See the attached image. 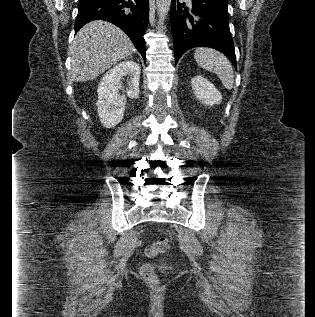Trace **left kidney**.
I'll list each match as a JSON object with an SVG mask.
<instances>
[{"instance_id": "5707ae66", "label": "left kidney", "mask_w": 315, "mask_h": 317, "mask_svg": "<svg viewBox=\"0 0 315 317\" xmlns=\"http://www.w3.org/2000/svg\"><path fill=\"white\" fill-rule=\"evenodd\" d=\"M191 87L196 98L204 105L212 106L222 101V96L215 86L200 75L191 79Z\"/></svg>"}]
</instances>
